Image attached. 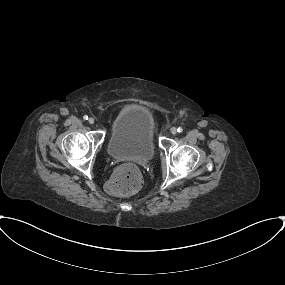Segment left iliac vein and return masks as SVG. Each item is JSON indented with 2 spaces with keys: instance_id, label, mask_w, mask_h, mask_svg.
I'll use <instances>...</instances> for the list:
<instances>
[{
  "instance_id": "4c4485c4",
  "label": "left iliac vein",
  "mask_w": 285,
  "mask_h": 285,
  "mask_svg": "<svg viewBox=\"0 0 285 285\" xmlns=\"http://www.w3.org/2000/svg\"><path fill=\"white\" fill-rule=\"evenodd\" d=\"M170 132H171L172 134H176V133H177V129H176L175 127H172V128L170 129Z\"/></svg>"
}]
</instances>
